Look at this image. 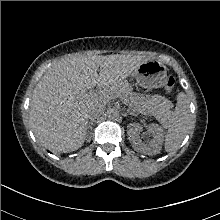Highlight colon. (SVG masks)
<instances>
[{"mask_svg": "<svg viewBox=\"0 0 220 220\" xmlns=\"http://www.w3.org/2000/svg\"><path fill=\"white\" fill-rule=\"evenodd\" d=\"M173 85H174V78L171 75L167 76V78L165 80L166 89L168 91H170L172 89Z\"/></svg>", "mask_w": 220, "mask_h": 220, "instance_id": "1", "label": "colon"}]
</instances>
